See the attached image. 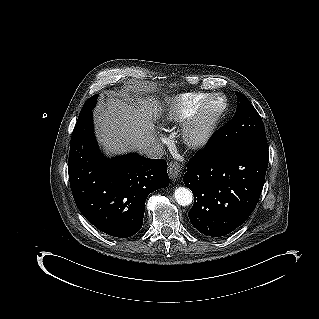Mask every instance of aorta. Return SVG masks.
<instances>
[{
	"mask_svg": "<svg viewBox=\"0 0 319 319\" xmlns=\"http://www.w3.org/2000/svg\"><path fill=\"white\" fill-rule=\"evenodd\" d=\"M176 202L181 206H188L192 203L193 194L185 187H178L174 192Z\"/></svg>",
	"mask_w": 319,
	"mask_h": 319,
	"instance_id": "aorta-1",
	"label": "aorta"
}]
</instances>
